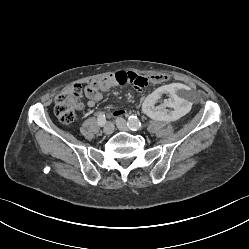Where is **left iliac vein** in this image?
I'll return each mask as SVG.
<instances>
[{
  "label": "left iliac vein",
  "mask_w": 249,
  "mask_h": 249,
  "mask_svg": "<svg viewBox=\"0 0 249 249\" xmlns=\"http://www.w3.org/2000/svg\"><path fill=\"white\" fill-rule=\"evenodd\" d=\"M116 125L122 131H126V132L129 131V128L127 127L126 121L121 117H118L116 119Z\"/></svg>",
  "instance_id": "1"
}]
</instances>
